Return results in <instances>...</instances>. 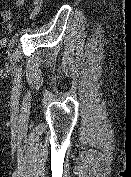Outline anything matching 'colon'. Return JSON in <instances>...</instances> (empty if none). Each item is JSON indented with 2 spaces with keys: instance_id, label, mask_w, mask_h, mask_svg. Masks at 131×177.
I'll return each mask as SVG.
<instances>
[{
  "instance_id": "5ec220e1",
  "label": "colon",
  "mask_w": 131,
  "mask_h": 177,
  "mask_svg": "<svg viewBox=\"0 0 131 177\" xmlns=\"http://www.w3.org/2000/svg\"><path fill=\"white\" fill-rule=\"evenodd\" d=\"M40 4H41V5L43 4V0H40Z\"/></svg>"
}]
</instances>
